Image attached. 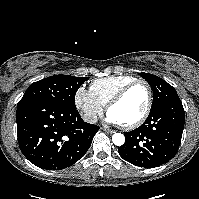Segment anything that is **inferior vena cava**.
I'll return each mask as SVG.
<instances>
[{
  "label": "inferior vena cava",
  "instance_id": "602c4592",
  "mask_svg": "<svg viewBox=\"0 0 199 199\" xmlns=\"http://www.w3.org/2000/svg\"><path fill=\"white\" fill-rule=\"evenodd\" d=\"M82 119L87 122V123H90V124H95L97 123V115L93 112H85L83 115H82Z\"/></svg>",
  "mask_w": 199,
  "mask_h": 199
}]
</instances>
